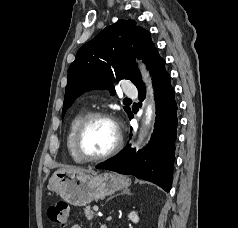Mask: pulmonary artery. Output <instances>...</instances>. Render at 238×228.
I'll use <instances>...</instances> for the list:
<instances>
[{
  "label": "pulmonary artery",
  "mask_w": 238,
  "mask_h": 228,
  "mask_svg": "<svg viewBox=\"0 0 238 228\" xmlns=\"http://www.w3.org/2000/svg\"><path fill=\"white\" fill-rule=\"evenodd\" d=\"M123 91L128 96L135 95L137 93L136 87L131 84L125 85Z\"/></svg>",
  "instance_id": "pulmonary-artery-1"
}]
</instances>
